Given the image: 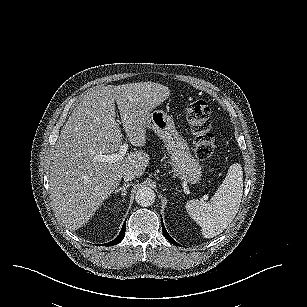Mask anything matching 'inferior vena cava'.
Returning a JSON list of instances; mask_svg holds the SVG:
<instances>
[{"label":"inferior vena cava","instance_id":"obj_1","mask_svg":"<svg viewBox=\"0 0 307 307\" xmlns=\"http://www.w3.org/2000/svg\"><path fill=\"white\" fill-rule=\"evenodd\" d=\"M134 178H135V175L133 174L131 170L126 171L123 175V179L125 182L132 181Z\"/></svg>","mask_w":307,"mask_h":307}]
</instances>
